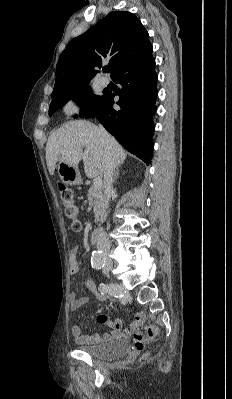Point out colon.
Wrapping results in <instances>:
<instances>
[{
    "instance_id": "5ec220e1",
    "label": "colon",
    "mask_w": 232,
    "mask_h": 399,
    "mask_svg": "<svg viewBox=\"0 0 232 399\" xmlns=\"http://www.w3.org/2000/svg\"><path fill=\"white\" fill-rule=\"evenodd\" d=\"M59 191H61V201L66 204L67 211H65V216L67 218H72V216H76V199L73 198V188L70 185H66V180H58ZM71 226L74 227V232H81L82 228L79 227L80 223L78 220H75L71 223ZM159 330H155V326H141L140 330L132 331V339L134 342L132 351L133 353H142L143 348L146 347L147 342L151 341V337H159Z\"/></svg>"
}]
</instances>
